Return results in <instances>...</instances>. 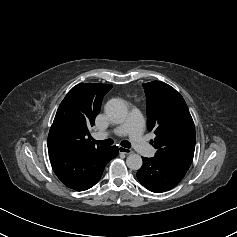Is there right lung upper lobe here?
Returning <instances> with one entry per match:
<instances>
[{"label":"right lung upper lobe","mask_w":237,"mask_h":237,"mask_svg":"<svg viewBox=\"0 0 237 237\" xmlns=\"http://www.w3.org/2000/svg\"><path fill=\"white\" fill-rule=\"evenodd\" d=\"M110 84L80 83L74 86L60 103L48 135L47 146L75 155L102 149L91 142L90 127L100 111Z\"/></svg>","instance_id":"1"}]
</instances>
